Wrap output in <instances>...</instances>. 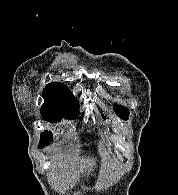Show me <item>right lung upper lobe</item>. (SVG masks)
<instances>
[{
	"label": "right lung upper lobe",
	"instance_id": "obj_1",
	"mask_svg": "<svg viewBox=\"0 0 178 195\" xmlns=\"http://www.w3.org/2000/svg\"><path fill=\"white\" fill-rule=\"evenodd\" d=\"M43 98L45 100L43 106H78L76 97L67 86L61 83H49L46 85L43 90Z\"/></svg>",
	"mask_w": 178,
	"mask_h": 195
}]
</instances>
